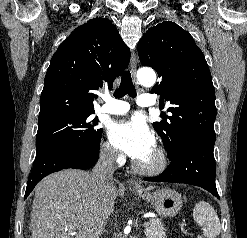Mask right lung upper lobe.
<instances>
[{"mask_svg":"<svg viewBox=\"0 0 247 238\" xmlns=\"http://www.w3.org/2000/svg\"><path fill=\"white\" fill-rule=\"evenodd\" d=\"M130 61V51L110 20L77 27L54 53L40 97L38 122L94 113L93 91L112 87Z\"/></svg>","mask_w":247,"mask_h":238,"instance_id":"right-lung-upper-lobe-1","label":"right lung upper lobe"}]
</instances>
